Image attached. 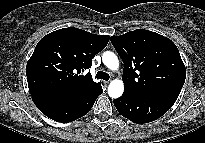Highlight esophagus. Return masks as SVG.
Instances as JSON below:
<instances>
[{
	"label": "esophagus",
	"instance_id": "esophagus-1",
	"mask_svg": "<svg viewBox=\"0 0 205 143\" xmlns=\"http://www.w3.org/2000/svg\"><path fill=\"white\" fill-rule=\"evenodd\" d=\"M103 84H104L105 86H107V85L109 84V81H103Z\"/></svg>",
	"mask_w": 205,
	"mask_h": 143
}]
</instances>
